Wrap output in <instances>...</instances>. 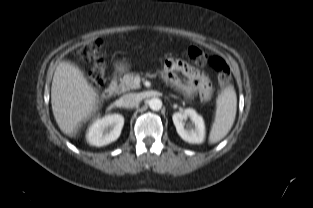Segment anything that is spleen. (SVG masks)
<instances>
[{"mask_svg":"<svg viewBox=\"0 0 313 208\" xmlns=\"http://www.w3.org/2000/svg\"><path fill=\"white\" fill-rule=\"evenodd\" d=\"M236 111V92L233 86H227L216 100L215 120L209 134L210 143L219 142L229 133L235 121Z\"/></svg>","mask_w":313,"mask_h":208,"instance_id":"spleen-1","label":"spleen"}]
</instances>
